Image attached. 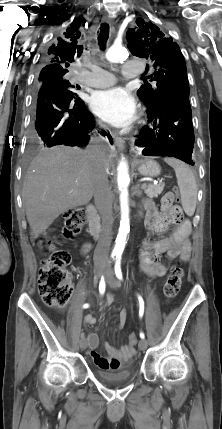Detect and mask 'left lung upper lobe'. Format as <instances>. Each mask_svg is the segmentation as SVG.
I'll return each mask as SVG.
<instances>
[{
  "label": "left lung upper lobe",
  "mask_w": 222,
  "mask_h": 429,
  "mask_svg": "<svg viewBox=\"0 0 222 429\" xmlns=\"http://www.w3.org/2000/svg\"><path fill=\"white\" fill-rule=\"evenodd\" d=\"M136 23L127 31V47L134 56L153 61L156 72L150 77L157 82L155 88L141 86L139 97L147 106L156 107L168 91L189 95L186 64L178 44L151 22L139 18Z\"/></svg>",
  "instance_id": "1"
}]
</instances>
